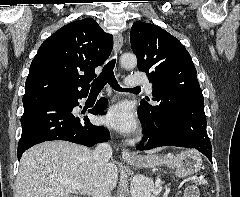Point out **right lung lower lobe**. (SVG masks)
<instances>
[{
	"mask_svg": "<svg viewBox=\"0 0 240 197\" xmlns=\"http://www.w3.org/2000/svg\"><path fill=\"white\" fill-rule=\"evenodd\" d=\"M87 95L88 93L78 95L62 93L23 103L24 113L21 118L22 135L17 150L18 160L28 148L49 140H65L88 147L107 141L109 133L105 127L94 126L87 117L72 114L73 108L79 106L78 99ZM106 105L107 100L101 98L90 113L100 114Z\"/></svg>",
	"mask_w": 240,
	"mask_h": 197,
	"instance_id": "1",
	"label": "right lung lower lobe"
}]
</instances>
